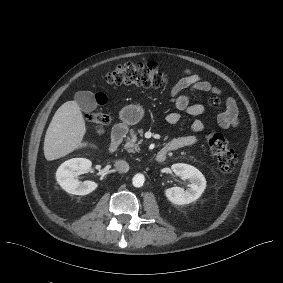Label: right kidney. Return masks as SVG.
Masks as SVG:
<instances>
[{
	"label": "right kidney",
	"mask_w": 283,
	"mask_h": 283,
	"mask_svg": "<svg viewBox=\"0 0 283 283\" xmlns=\"http://www.w3.org/2000/svg\"><path fill=\"white\" fill-rule=\"evenodd\" d=\"M92 166L86 158H73L65 161L57 169L56 179L63 190L75 195H87L94 191L98 184L94 181L80 182L75 178L77 172H85Z\"/></svg>",
	"instance_id": "obj_1"
}]
</instances>
